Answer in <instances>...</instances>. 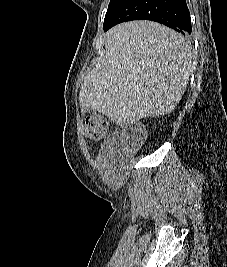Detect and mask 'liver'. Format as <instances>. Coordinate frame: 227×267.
Masks as SVG:
<instances>
[{
	"label": "liver",
	"instance_id": "6515ba94",
	"mask_svg": "<svg viewBox=\"0 0 227 267\" xmlns=\"http://www.w3.org/2000/svg\"><path fill=\"white\" fill-rule=\"evenodd\" d=\"M192 57L187 38L164 25L119 24L107 32L105 55L84 79L80 104L119 126L168 114L186 90Z\"/></svg>",
	"mask_w": 227,
	"mask_h": 267
}]
</instances>
